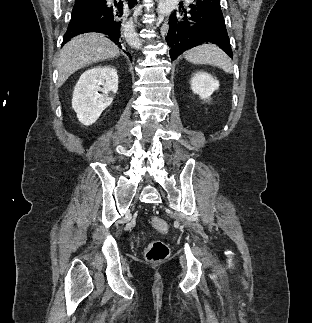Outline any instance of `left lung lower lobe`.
I'll return each instance as SVG.
<instances>
[{
  "label": "left lung lower lobe",
  "mask_w": 312,
  "mask_h": 323,
  "mask_svg": "<svg viewBox=\"0 0 312 323\" xmlns=\"http://www.w3.org/2000/svg\"><path fill=\"white\" fill-rule=\"evenodd\" d=\"M165 40L172 60L185 50L205 43L217 44L233 56L220 0H194L187 9L180 6L169 18Z\"/></svg>",
  "instance_id": "obj_1"
}]
</instances>
